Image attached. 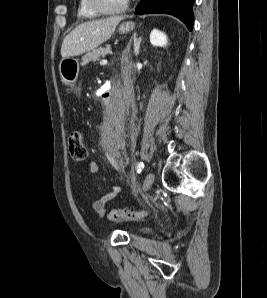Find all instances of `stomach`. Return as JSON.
Listing matches in <instances>:
<instances>
[{
    "label": "stomach",
    "mask_w": 267,
    "mask_h": 298,
    "mask_svg": "<svg viewBox=\"0 0 267 298\" xmlns=\"http://www.w3.org/2000/svg\"><path fill=\"white\" fill-rule=\"evenodd\" d=\"M135 28L133 22H126L120 25L118 31L120 34H126ZM59 71L61 80L65 85L73 86L76 82L78 72H79V63L74 58H65L62 59L59 65Z\"/></svg>",
    "instance_id": "obj_1"
}]
</instances>
